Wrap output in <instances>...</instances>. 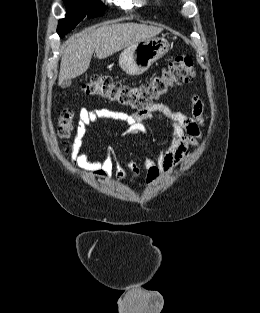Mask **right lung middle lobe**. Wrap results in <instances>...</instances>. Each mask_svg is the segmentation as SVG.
Here are the masks:
<instances>
[{
  "mask_svg": "<svg viewBox=\"0 0 260 313\" xmlns=\"http://www.w3.org/2000/svg\"><path fill=\"white\" fill-rule=\"evenodd\" d=\"M67 14L58 24L60 37L70 32L86 16L97 17L104 13L105 5L99 0H63Z\"/></svg>",
  "mask_w": 260,
  "mask_h": 313,
  "instance_id": "obj_1",
  "label": "right lung middle lobe"
}]
</instances>
